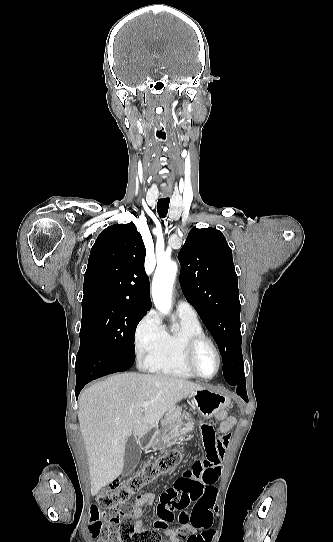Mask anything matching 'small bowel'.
Returning a JSON list of instances; mask_svg holds the SVG:
<instances>
[{"instance_id": "1", "label": "small bowel", "mask_w": 333, "mask_h": 542, "mask_svg": "<svg viewBox=\"0 0 333 542\" xmlns=\"http://www.w3.org/2000/svg\"><path fill=\"white\" fill-rule=\"evenodd\" d=\"M222 414L221 419L223 421L220 424L219 431L213 429L210 425L206 426L201 425L199 428L202 430V440L203 446L206 453V458L211 462H217L224 458L225 453L224 449L228 445L229 435L231 429L237 424L235 417H228L224 419V414ZM215 421V420H213ZM154 501V495L152 493L139 494L136 497V501L131 505L130 514L136 520L135 526L137 531H142L145 529V524L141 520V517L144 515L145 510L141 507L143 504L150 505ZM211 508L204 507H194L191 513H183L178 519L181 526L176 529H166L163 531V536L166 538V542H180L182 538L188 534H193L195 531H209L212 529V515ZM196 516L199 520L191 523L188 521V517ZM202 520V521H200Z\"/></svg>"}]
</instances>
